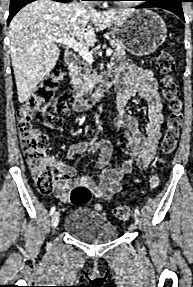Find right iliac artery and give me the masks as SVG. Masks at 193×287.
Returning a JSON list of instances; mask_svg holds the SVG:
<instances>
[{
    "label": "right iliac artery",
    "instance_id": "right-iliac-artery-1",
    "mask_svg": "<svg viewBox=\"0 0 193 287\" xmlns=\"http://www.w3.org/2000/svg\"><path fill=\"white\" fill-rule=\"evenodd\" d=\"M95 140H96V137H95L94 139H92V141L90 142V144H92L93 142H95ZM55 210H56V207H55V206L51 208L50 213H49L50 216L54 214Z\"/></svg>",
    "mask_w": 193,
    "mask_h": 287
}]
</instances>
